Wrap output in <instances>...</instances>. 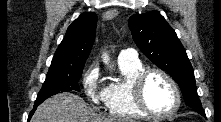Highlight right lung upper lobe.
I'll return each mask as SVG.
<instances>
[{
  "instance_id": "right-lung-upper-lobe-1",
  "label": "right lung upper lobe",
  "mask_w": 221,
  "mask_h": 122,
  "mask_svg": "<svg viewBox=\"0 0 221 122\" xmlns=\"http://www.w3.org/2000/svg\"><path fill=\"white\" fill-rule=\"evenodd\" d=\"M97 15L85 13L68 27L66 35L58 46L51 65L77 66L88 58L96 31Z\"/></svg>"
}]
</instances>
